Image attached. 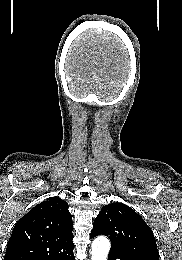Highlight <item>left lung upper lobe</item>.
I'll return each mask as SVG.
<instances>
[{
    "label": "left lung upper lobe",
    "instance_id": "left-lung-upper-lobe-1",
    "mask_svg": "<svg viewBox=\"0 0 182 260\" xmlns=\"http://www.w3.org/2000/svg\"><path fill=\"white\" fill-rule=\"evenodd\" d=\"M98 235L109 237L110 251L159 260L152 230L139 214L123 203H111L101 209L90 237Z\"/></svg>",
    "mask_w": 182,
    "mask_h": 260
}]
</instances>
